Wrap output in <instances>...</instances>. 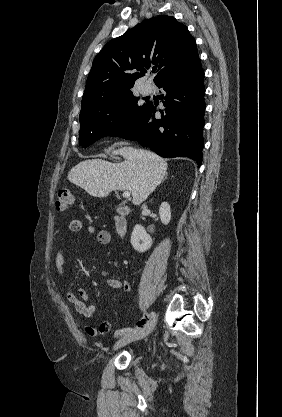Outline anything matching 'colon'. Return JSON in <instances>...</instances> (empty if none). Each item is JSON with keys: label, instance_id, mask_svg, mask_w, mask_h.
<instances>
[{"label": "colon", "instance_id": "5ec220e1", "mask_svg": "<svg viewBox=\"0 0 282 417\" xmlns=\"http://www.w3.org/2000/svg\"><path fill=\"white\" fill-rule=\"evenodd\" d=\"M74 202L73 192L70 187L65 186L61 188L55 199V208L59 212H64L69 209Z\"/></svg>", "mask_w": 282, "mask_h": 417}]
</instances>
